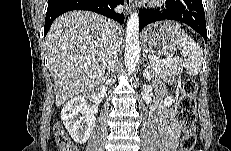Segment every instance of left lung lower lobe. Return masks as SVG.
<instances>
[{
    "instance_id": "left-lung-lower-lobe-1",
    "label": "left lung lower lobe",
    "mask_w": 231,
    "mask_h": 151,
    "mask_svg": "<svg viewBox=\"0 0 231 151\" xmlns=\"http://www.w3.org/2000/svg\"><path fill=\"white\" fill-rule=\"evenodd\" d=\"M161 20H176L191 26L201 34L207 43V30L202 0H180L175 6L167 3L158 9H141L139 12V30L149 23Z\"/></svg>"
}]
</instances>
